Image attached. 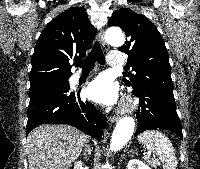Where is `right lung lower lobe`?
<instances>
[{
    "mask_svg": "<svg viewBox=\"0 0 200 169\" xmlns=\"http://www.w3.org/2000/svg\"><path fill=\"white\" fill-rule=\"evenodd\" d=\"M69 90V82L29 89L26 134L41 124H69L100 139L107 125L106 117Z\"/></svg>",
    "mask_w": 200,
    "mask_h": 169,
    "instance_id": "right-lung-lower-lobe-1",
    "label": "right lung lower lobe"
}]
</instances>
